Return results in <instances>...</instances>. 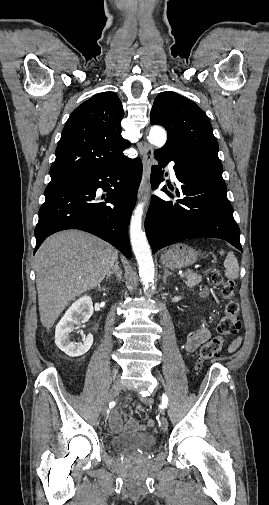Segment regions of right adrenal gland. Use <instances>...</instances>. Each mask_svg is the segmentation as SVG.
Returning a JSON list of instances; mask_svg holds the SVG:
<instances>
[{
    "label": "right adrenal gland",
    "mask_w": 269,
    "mask_h": 505,
    "mask_svg": "<svg viewBox=\"0 0 269 505\" xmlns=\"http://www.w3.org/2000/svg\"><path fill=\"white\" fill-rule=\"evenodd\" d=\"M112 275H115L119 281L122 278V271L119 267L118 260H116L115 265L112 267V270L109 271L108 274L106 275V279H109Z\"/></svg>",
    "instance_id": "2a0ac1e0"
}]
</instances>
